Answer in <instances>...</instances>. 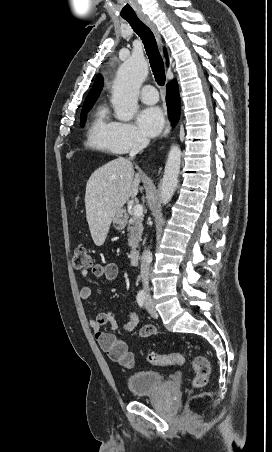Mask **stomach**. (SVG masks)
<instances>
[{"mask_svg":"<svg viewBox=\"0 0 272 452\" xmlns=\"http://www.w3.org/2000/svg\"><path fill=\"white\" fill-rule=\"evenodd\" d=\"M125 224H126L125 211L121 210L115 215L113 219V225L117 229H122L125 226Z\"/></svg>","mask_w":272,"mask_h":452,"instance_id":"1","label":"stomach"}]
</instances>
